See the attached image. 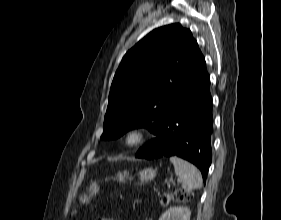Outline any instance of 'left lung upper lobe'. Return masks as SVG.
<instances>
[{"label":"left lung upper lobe","mask_w":281,"mask_h":220,"mask_svg":"<svg viewBox=\"0 0 281 220\" xmlns=\"http://www.w3.org/2000/svg\"><path fill=\"white\" fill-rule=\"evenodd\" d=\"M190 30L180 24L157 28L123 57L112 82L101 139L136 127L156 135L179 87L203 61Z\"/></svg>","instance_id":"obj_1"}]
</instances>
